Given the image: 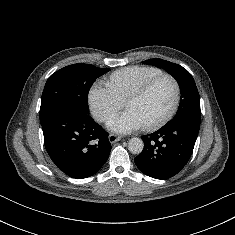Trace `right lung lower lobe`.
<instances>
[{
    "label": "right lung lower lobe",
    "mask_w": 235,
    "mask_h": 235,
    "mask_svg": "<svg viewBox=\"0 0 235 235\" xmlns=\"http://www.w3.org/2000/svg\"><path fill=\"white\" fill-rule=\"evenodd\" d=\"M40 122L51 160L68 176L90 177L107 161L111 151L108 133L89 114L61 108Z\"/></svg>",
    "instance_id": "98d812e1"
}]
</instances>
